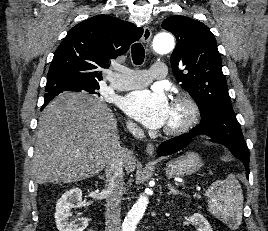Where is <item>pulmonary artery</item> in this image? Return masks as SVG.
<instances>
[{
    "label": "pulmonary artery",
    "instance_id": "1",
    "mask_svg": "<svg viewBox=\"0 0 268 231\" xmlns=\"http://www.w3.org/2000/svg\"><path fill=\"white\" fill-rule=\"evenodd\" d=\"M166 70L165 63L153 62L149 70L129 69L123 74L113 72L109 78L110 86L118 91L136 89L146 86L153 78H164Z\"/></svg>",
    "mask_w": 268,
    "mask_h": 231
}]
</instances>
